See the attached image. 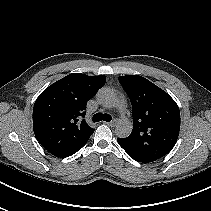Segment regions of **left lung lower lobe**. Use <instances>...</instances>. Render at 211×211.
<instances>
[{
    "instance_id": "0a47b994",
    "label": "left lung lower lobe",
    "mask_w": 211,
    "mask_h": 211,
    "mask_svg": "<svg viewBox=\"0 0 211 211\" xmlns=\"http://www.w3.org/2000/svg\"><path fill=\"white\" fill-rule=\"evenodd\" d=\"M117 141H118L119 145L126 151V153L131 158H133L135 161L143 162V163H150V162H153V161L157 160L156 158H154L152 156H149L147 154H144V153H141V152L132 151V150H129V149L125 148L124 147V143H123V139H121V138H118Z\"/></svg>"
}]
</instances>
